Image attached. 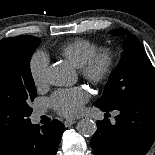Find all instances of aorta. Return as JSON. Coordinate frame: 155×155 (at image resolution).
I'll return each mask as SVG.
<instances>
[{
    "label": "aorta",
    "instance_id": "762f6f07",
    "mask_svg": "<svg viewBox=\"0 0 155 155\" xmlns=\"http://www.w3.org/2000/svg\"><path fill=\"white\" fill-rule=\"evenodd\" d=\"M74 79L72 68L65 62L51 65L47 71V81L53 86H65ZM78 132L86 137L92 136L96 131V123L89 118L81 119L77 124Z\"/></svg>",
    "mask_w": 155,
    "mask_h": 155
}]
</instances>
